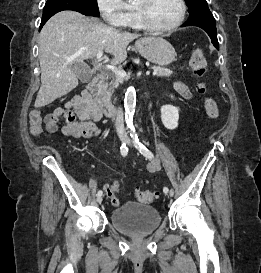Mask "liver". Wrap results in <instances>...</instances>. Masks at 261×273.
Returning a JSON list of instances; mask_svg holds the SVG:
<instances>
[{
	"label": "liver",
	"instance_id": "6515ba94",
	"mask_svg": "<svg viewBox=\"0 0 261 273\" xmlns=\"http://www.w3.org/2000/svg\"><path fill=\"white\" fill-rule=\"evenodd\" d=\"M138 37L75 11L53 15L39 36L41 87L35 107L46 106L78 86L79 77L70 69L73 63L93 59L105 50L113 56L112 64H120L127 58L128 44Z\"/></svg>",
	"mask_w": 261,
	"mask_h": 273
}]
</instances>
